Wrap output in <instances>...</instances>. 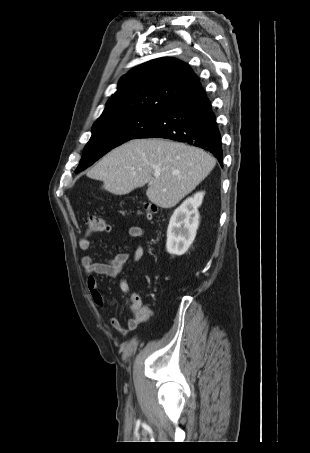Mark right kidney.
<instances>
[{
    "label": "right kidney",
    "instance_id": "ca27d5eb",
    "mask_svg": "<svg viewBox=\"0 0 310 453\" xmlns=\"http://www.w3.org/2000/svg\"><path fill=\"white\" fill-rule=\"evenodd\" d=\"M204 192L187 198L173 213L167 229L166 249L169 254L183 255L193 243L199 226L198 207Z\"/></svg>",
    "mask_w": 310,
    "mask_h": 453
}]
</instances>
